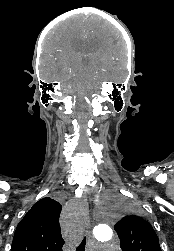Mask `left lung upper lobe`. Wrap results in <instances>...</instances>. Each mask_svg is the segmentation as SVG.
I'll return each mask as SVG.
<instances>
[{
	"label": "left lung upper lobe",
	"mask_w": 174,
	"mask_h": 251,
	"mask_svg": "<svg viewBox=\"0 0 174 251\" xmlns=\"http://www.w3.org/2000/svg\"><path fill=\"white\" fill-rule=\"evenodd\" d=\"M123 251H162L152 226L143 218L126 216L115 225Z\"/></svg>",
	"instance_id": "1"
}]
</instances>
